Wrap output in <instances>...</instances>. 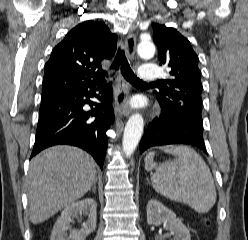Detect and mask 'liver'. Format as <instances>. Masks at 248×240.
Here are the masks:
<instances>
[{
  "label": "liver",
  "instance_id": "1",
  "mask_svg": "<svg viewBox=\"0 0 248 240\" xmlns=\"http://www.w3.org/2000/svg\"><path fill=\"white\" fill-rule=\"evenodd\" d=\"M93 158L71 146L50 147L31 160L27 177L30 221L39 224L84 196L96 181Z\"/></svg>",
  "mask_w": 248,
  "mask_h": 240
}]
</instances>
